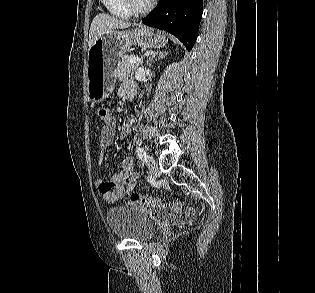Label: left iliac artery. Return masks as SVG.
<instances>
[{
  "label": "left iliac artery",
  "instance_id": "obj_1",
  "mask_svg": "<svg viewBox=\"0 0 315 293\" xmlns=\"http://www.w3.org/2000/svg\"><path fill=\"white\" fill-rule=\"evenodd\" d=\"M136 153L141 160L147 162L148 156L142 147H136Z\"/></svg>",
  "mask_w": 315,
  "mask_h": 293
}]
</instances>
